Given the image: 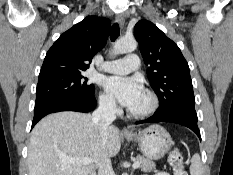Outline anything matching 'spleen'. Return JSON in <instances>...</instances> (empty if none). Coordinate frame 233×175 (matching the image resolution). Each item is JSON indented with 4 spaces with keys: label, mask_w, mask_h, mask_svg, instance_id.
<instances>
[{
    "label": "spleen",
    "mask_w": 233,
    "mask_h": 175,
    "mask_svg": "<svg viewBox=\"0 0 233 175\" xmlns=\"http://www.w3.org/2000/svg\"><path fill=\"white\" fill-rule=\"evenodd\" d=\"M190 174L202 175V163L198 154H194L191 159Z\"/></svg>",
    "instance_id": "obj_1"
}]
</instances>
